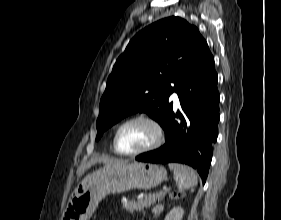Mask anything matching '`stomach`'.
Segmentation results:
<instances>
[{
  "label": "stomach",
  "mask_w": 281,
  "mask_h": 220,
  "mask_svg": "<svg viewBox=\"0 0 281 220\" xmlns=\"http://www.w3.org/2000/svg\"><path fill=\"white\" fill-rule=\"evenodd\" d=\"M167 176L160 165L142 162L103 167L87 175L72 193L62 220H89L99 202L108 194L130 189H152Z\"/></svg>",
  "instance_id": "1"
}]
</instances>
